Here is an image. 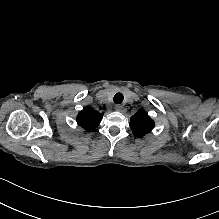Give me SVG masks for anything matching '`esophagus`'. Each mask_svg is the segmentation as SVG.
<instances>
[{"label": "esophagus", "mask_w": 219, "mask_h": 219, "mask_svg": "<svg viewBox=\"0 0 219 219\" xmlns=\"http://www.w3.org/2000/svg\"><path fill=\"white\" fill-rule=\"evenodd\" d=\"M122 109H123L122 105H119V104L115 105V110L116 111H121Z\"/></svg>", "instance_id": "obj_1"}]
</instances>
